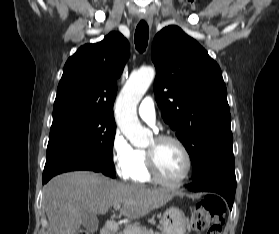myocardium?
<instances>
[{"label": "myocardium", "mask_w": 279, "mask_h": 234, "mask_svg": "<svg viewBox=\"0 0 279 234\" xmlns=\"http://www.w3.org/2000/svg\"><path fill=\"white\" fill-rule=\"evenodd\" d=\"M166 142H171L176 144L181 151L183 152L185 159H186V169L184 174L176 181H169L165 179L158 168V163H157V152H158V147ZM146 156H147V166H148V171L150 173V176L152 180L155 182L166 186L170 188H178L181 185H183L187 179L189 178L192 168H193V159L191 156V153L185 143L180 140L179 138L171 135H158L154 138V146L151 148L146 149Z\"/></svg>", "instance_id": "myocardium-1"}]
</instances>
